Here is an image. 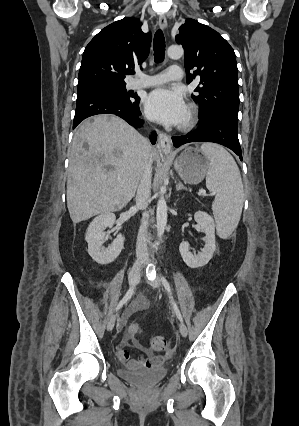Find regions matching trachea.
<instances>
[{
  "label": "trachea",
  "instance_id": "trachea-1",
  "mask_svg": "<svg viewBox=\"0 0 299 426\" xmlns=\"http://www.w3.org/2000/svg\"><path fill=\"white\" fill-rule=\"evenodd\" d=\"M154 59L156 62H161L165 55V38L162 30H157L153 41Z\"/></svg>",
  "mask_w": 299,
  "mask_h": 426
}]
</instances>
